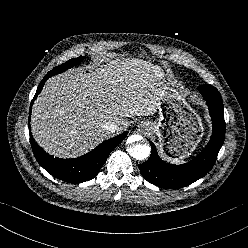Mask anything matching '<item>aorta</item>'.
I'll list each match as a JSON object with an SVG mask.
<instances>
[{
  "label": "aorta",
  "mask_w": 248,
  "mask_h": 248,
  "mask_svg": "<svg viewBox=\"0 0 248 248\" xmlns=\"http://www.w3.org/2000/svg\"><path fill=\"white\" fill-rule=\"evenodd\" d=\"M140 136H132L130 137V141L134 142L140 140ZM151 148L147 144H135L127 147V152L137 160H144L148 158L150 154Z\"/></svg>",
  "instance_id": "obj_1"
}]
</instances>
